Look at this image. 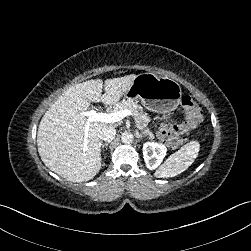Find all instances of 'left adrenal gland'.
<instances>
[{"instance_id": "left-adrenal-gland-1", "label": "left adrenal gland", "mask_w": 251, "mask_h": 251, "mask_svg": "<svg viewBox=\"0 0 251 251\" xmlns=\"http://www.w3.org/2000/svg\"><path fill=\"white\" fill-rule=\"evenodd\" d=\"M136 138L141 139L143 137V135L141 133H139L138 131L136 132Z\"/></svg>"}]
</instances>
